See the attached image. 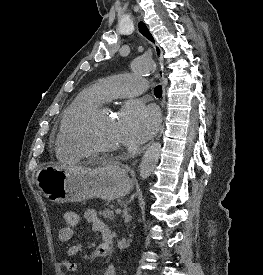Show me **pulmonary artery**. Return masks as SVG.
I'll return each mask as SVG.
<instances>
[{"label": "pulmonary artery", "mask_w": 263, "mask_h": 275, "mask_svg": "<svg viewBox=\"0 0 263 275\" xmlns=\"http://www.w3.org/2000/svg\"><path fill=\"white\" fill-rule=\"evenodd\" d=\"M97 85L105 100L134 97L146 91L145 80L129 73L104 78Z\"/></svg>", "instance_id": "obj_1"}]
</instances>
